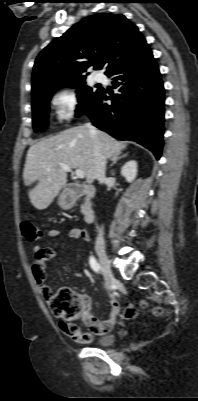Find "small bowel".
I'll return each instance as SVG.
<instances>
[{"label":"small bowel","mask_w":198,"mask_h":401,"mask_svg":"<svg viewBox=\"0 0 198 401\" xmlns=\"http://www.w3.org/2000/svg\"><path fill=\"white\" fill-rule=\"evenodd\" d=\"M59 234L60 230L56 228L50 229L48 231V235L50 237H57ZM68 234L69 237L82 240L85 243H88L90 241L89 233L83 228L72 227L69 229ZM33 250L34 257L31 266L32 275L40 289L41 295L46 298L51 294V288L46 284V266L54 258L55 251L49 247H43L40 245H36ZM80 300L85 310L91 312L92 303L90 297L88 295L82 294L80 295ZM110 303L111 311L108 319L99 320L94 315L93 322L87 326L90 332L83 333L77 330L75 336H73L72 338L81 343H88L94 335H102L110 331L115 323L116 317L120 312V302L116 295H111ZM61 328L64 333L69 335L68 326L63 322L61 323Z\"/></svg>","instance_id":"1"}]
</instances>
